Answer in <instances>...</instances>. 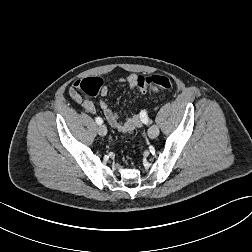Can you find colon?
<instances>
[{
	"label": "colon",
	"mask_w": 252,
	"mask_h": 252,
	"mask_svg": "<svg viewBox=\"0 0 252 252\" xmlns=\"http://www.w3.org/2000/svg\"><path fill=\"white\" fill-rule=\"evenodd\" d=\"M136 84L141 92H145L150 85H154L161 90H169L172 87L169 78L161 75H153L149 77L137 76ZM103 86V80L99 77L85 78L80 82V89L90 96H96Z\"/></svg>",
	"instance_id": "1"
}]
</instances>
